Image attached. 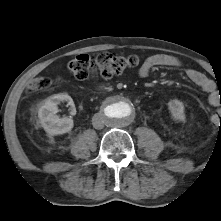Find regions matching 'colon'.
<instances>
[{"label":"colon","mask_w":221,"mask_h":221,"mask_svg":"<svg viewBox=\"0 0 221 221\" xmlns=\"http://www.w3.org/2000/svg\"><path fill=\"white\" fill-rule=\"evenodd\" d=\"M139 64V57L136 55L120 56L110 52H100L94 55L81 54L72 59L68 68L79 80L95 78H112L115 75L135 68ZM52 81L46 77L35 79L28 88V93L46 89ZM215 125L221 127V111H218L212 117Z\"/></svg>","instance_id":"1"}]
</instances>
